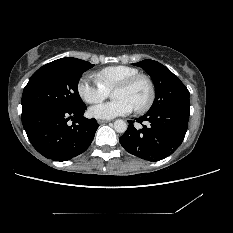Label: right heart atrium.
<instances>
[{"mask_svg": "<svg viewBox=\"0 0 233 233\" xmlns=\"http://www.w3.org/2000/svg\"><path fill=\"white\" fill-rule=\"evenodd\" d=\"M77 92L89 104L99 103L108 96V91L99 82L96 80L92 82L87 76L80 79Z\"/></svg>", "mask_w": 233, "mask_h": 233, "instance_id": "1", "label": "right heart atrium"}]
</instances>
